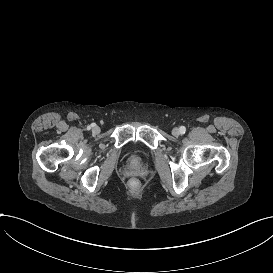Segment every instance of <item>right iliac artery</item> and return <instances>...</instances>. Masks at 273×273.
I'll use <instances>...</instances> for the list:
<instances>
[{
    "label": "right iliac artery",
    "instance_id": "right-iliac-artery-1",
    "mask_svg": "<svg viewBox=\"0 0 273 273\" xmlns=\"http://www.w3.org/2000/svg\"><path fill=\"white\" fill-rule=\"evenodd\" d=\"M94 126H95V124H91V125H89V126L87 127V129L90 130L91 127H94Z\"/></svg>",
    "mask_w": 273,
    "mask_h": 273
}]
</instances>
